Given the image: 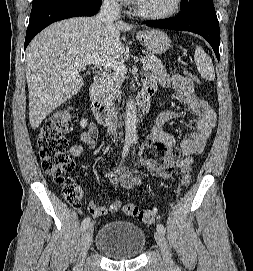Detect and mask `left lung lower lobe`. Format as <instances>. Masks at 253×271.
I'll use <instances>...</instances> for the list:
<instances>
[{"mask_svg": "<svg viewBox=\"0 0 253 271\" xmlns=\"http://www.w3.org/2000/svg\"><path fill=\"white\" fill-rule=\"evenodd\" d=\"M147 26L177 30L190 31L204 37L212 46L219 61L220 31L219 22L215 12L213 2L207 3L203 9L188 16L176 15L160 21H147Z\"/></svg>", "mask_w": 253, "mask_h": 271, "instance_id": "left-lung-lower-lobe-1", "label": "left lung lower lobe"}]
</instances>
